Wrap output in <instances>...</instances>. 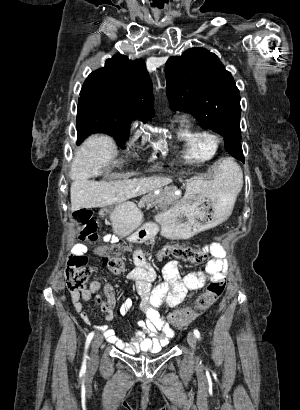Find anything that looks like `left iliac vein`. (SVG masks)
Here are the masks:
<instances>
[{"label":"left iliac vein","instance_id":"1","mask_svg":"<svg viewBox=\"0 0 300 410\" xmlns=\"http://www.w3.org/2000/svg\"><path fill=\"white\" fill-rule=\"evenodd\" d=\"M187 341H188L189 346L191 347L192 353L194 354L195 362H198V357L196 355V350H197L196 336L192 332H189L187 335Z\"/></svg>","mask_w":300,"mask_h":410}]
</instances>
